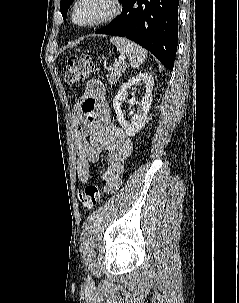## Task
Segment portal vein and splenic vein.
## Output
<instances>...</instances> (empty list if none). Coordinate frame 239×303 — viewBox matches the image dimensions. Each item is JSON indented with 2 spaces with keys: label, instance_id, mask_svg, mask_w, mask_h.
<instances>
[{
  "label": "portal vein and splenic vein",
  "instance_id": "1",
  "mask_svg": "<svg viewBox=\"0 0 239 303\" xmlns=\"http://www.w3.org/2000/svg\"><path fill=\"white\" fill-rule=\"evenodd\" d=\"M120 63H122V62H115L113 66H114V67H117V66L120 65Z\"/></svg>",
  "mask_w": 239,
  "mask_h": 303
}]
</instances>
